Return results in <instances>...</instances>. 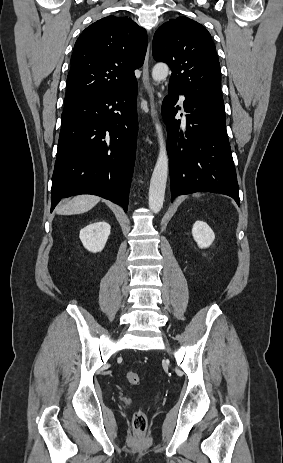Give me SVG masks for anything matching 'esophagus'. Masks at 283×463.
I'll return each instance as SVG.
<instances>
[{"label": "esophagus", "mask_w": 283, "mask_h": 463, "mask_svg": "<svg viewBox=\"0 0 283 463\" xmlns=\"http://www.w3.org/2000/svg\"><path fill=\"white\" fill-rule=\"evenodd\" d=\"M149 51H150V43L148 45L147 53L145 56V61L142 67V82L144 84L145 89L147 90L149 94L151 108H153L154 107V95H153V90L151 88L150 81H149ZM152 116H153V113H152Z\"/></svg>", "instance_id": "esophagus-1"}]
</instances>
